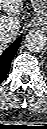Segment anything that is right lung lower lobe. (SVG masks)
<instances>
[{"mask_svg":"<svg viewBox=\"0 0 47 129\" xmlns=\"http://www.w3.org/2000/svg\"><path fill=\"white\" fill-rule=\"evenodd\" d=\"M22 41L21 37L17 38L4 52L0 55V83L5 79L7 75L11 61L16 54L20 42Z\"/></svg>","mask_w":47,"mask_h":129,"instance_id":"98d812e1","label":"right lung lower lobe"}]
</instances>
